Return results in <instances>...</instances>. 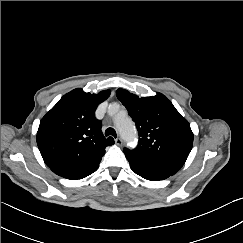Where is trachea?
Instances as JSON below:
<instances>
[{
    "label": "trachea",
    "mask_w": 243,
    "mask_h": 243,
    "mask_svg": "<svg viewBox=\"0 0 243 243\" xmlns=\"http://www.w3.org/2000/svg\"><path fill=\"white\" fill-rule=\"evenodd\" d=\"M105 135L106 136H113V137H115L116 138V131H115V129H113L112 127H109V128H107L106 129V131H105Z\"/></svg>",
    "instance_id": "trachea-1"
}]
</instances>
